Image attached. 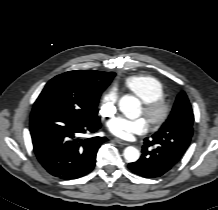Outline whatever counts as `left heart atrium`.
<instances>
[{"label": "left heart atrium", "instance_id": "1", "mask_svg": "<svg viewBox=\"0 0 218 210\" xmlns=\"http://www.w3.org/2000/svg\"><path fill=\"white\" fill-rule=\"evenodd\" d=\"M149 124L145 118L127 119L119 117L109 124L110 132L121 139L130 140L135 135H142L148 131Z\"/></svg>", "mask_w": 218, "mask_h": 210}]
</instances>
